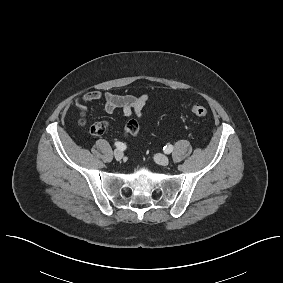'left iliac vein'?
I'll return each instance as SVG.
<instances>
[{
  "mask_svg": "<svg viewBox=\"0 0 283 283\" xmlns=\"http://www.w3.org/2000/svg\"><path fill=\"white\" fill-rule=\"evenodd\" d=\"M155 161L159 165L166 166L169 163V158L164 154H158L155 156Z\"/></svg>",
  "mask_w": 283,
  "mask_h": 283,
  "instance_id": "1",
  "label": "left iliac vein"
}]
</instances>
